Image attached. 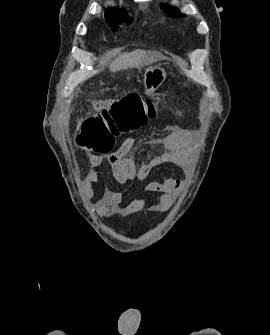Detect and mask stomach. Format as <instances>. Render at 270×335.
Masks as SVG:
<instances>
[{"instance_id": "obj_1", "label": "stomach", "mask_w": 270, "mask_h": 335, "mask_svg": "<svg viewBox=\"0 0 270 335\" xmlns=\"http://www.w3.org/2000/svg\"><path fill=\"white\" fill-rule=\"evenodd\" d=\"M165 80V72L160 66H150L143 74V86L145 94H154Z\"/></svg>"}]
</instances>
